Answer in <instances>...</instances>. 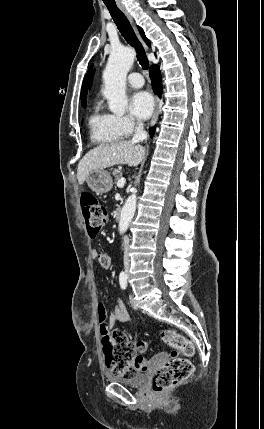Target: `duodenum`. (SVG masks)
I'll use <instances>...</instances> for the list:
<instances>
[{"mask_svg":"<svg viewBox=\"0 0 264 429\" xmlns=\"http://www.w3.org/2000/svg\"><path fill=\"white\" fill-rule=\"evenodd\" d=\"M121 218V211L117 210L116 211V219L119 220Z\"/></svg>","mask_w":264,"mask_h":429,"instance_id":"1","label":"duodenum"}]
</instances>
